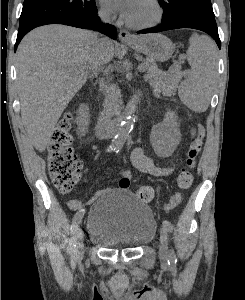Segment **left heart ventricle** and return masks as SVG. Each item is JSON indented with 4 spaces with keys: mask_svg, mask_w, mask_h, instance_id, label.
I'll list each match as a JSON object with an SVG mask.
<instances>
[{
    "mask_svg": "<svg viewBox=\"0 0 245 300\" xmlns=\"http://www.w3.org/2000/svg\"><path fill=\"white\" fill-rule=\"evenodd\" d=\"M155 15L156 11L149 0H134L126 20L133 23H148L155 18Z\"/></svg>",
    "mask_w": 245,
    "mask_h": 300,
    "instance_id": "obj_1",
    "label": "left heart ventricle"
}]
</instances>
